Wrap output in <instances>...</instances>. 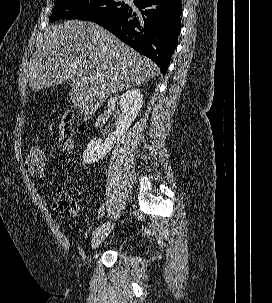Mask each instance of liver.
Returning <instances> with one entry per match:
<instances>
[{"instance_id":"liver-1","label":"liver","mask_w":272,"mask_h":303,"mask_svg":"<svg viewBox=\"0 0 272 303\" xmlns=\"http://www.w3.org/2000/svg\"><path fill=\"white\" fill-rule=\"evenodd\" d=\"M44 37L29 67V87L39 91L69 82L70 101L83 120L112 93L144 84L158 72L153 61L93 22L66 21L47 28Z\"/></svg>"}]
</instances>
